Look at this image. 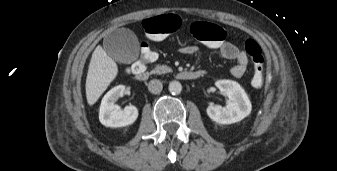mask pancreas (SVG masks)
Wrapping results in <instances>:
<instances>
[{
  "instance_id": "obj_1",
  "label": "pancreas",
  "mask_w": 337,
  "mask_h": 171,
  "mask_svg": "<svg viewBox=\"0 0 337 171\" xmlns=\"http://www.w3.org/2000/svg\"><path fill=\"white\" fill-rule=\"evenodd\" d=\"M153 72L157 74H165L168 72H172V69L166 65H157Z\"/></svg>"
}]
</instances>
